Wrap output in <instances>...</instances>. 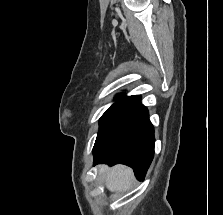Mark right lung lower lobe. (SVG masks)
<instances>
[{
	"label": "right lung lower lobe",
	"mask_w": 223,
	"mask_h": 215,
	"mask_svg": "<svg viewBox=\"0 0 223 215\" xmlns=\"http://www.w3.org/2000/svg\"><path fill=\"white\" fill-rule=\"evenodd\" d=\"M154 142L148 110L140 104L93 151V165L125 164L133 168L138 180H143L154 156Z\"/></svg>",
	"instance_id": "1"
}]
</instances>
